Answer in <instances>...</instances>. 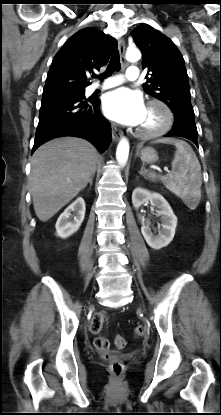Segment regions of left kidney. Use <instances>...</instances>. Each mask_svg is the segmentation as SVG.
Returning <instances> with one entry per match:
<instances>
[{
  "label": "left kidney",
  "instance_id": "left-kidney-1",
  "mask_svg": "<svg viewBox=\"0 0 221 415\" xmlns=\"http://www.w3.org/2000/svg\"><path fill=\"white\" fill-rule=\"evenodd\" d=\"M150 201L152 206L158 208L157 216L161 217V229L158 230V235H154L150 229V222L143 216L138 215L142 224L141 232L147 244L159 250L166 247L175 235V228L177 226V217L165 198L159 193H152L143 188H136L132 193V203L135 209H139L142 204Z\"/></svg>",
  "mask_w": 221,
  "mask_h": 415
}]
</instances>
